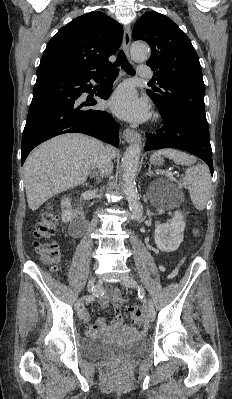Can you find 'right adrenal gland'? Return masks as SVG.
Listing matches in <instances>:
<instances>
[{
  "label": "right adrenal gland",
  "mask_w": 232,
  "mask_h": 399,
  "mask_svg": "<svg viewBox=\"0 0 232 399\" xmlns=\"http://www.w3.org/2000/svg\"><path fill=\"white\" fill-rule=\"evenodd\" d=\"M89 176L90 178H95V180H97V184H99L103 178V174H100V172H95L94 168L92 170V174L90 172Z\"/></svg>",
  "instance_id": "1"
}]
</instances>
